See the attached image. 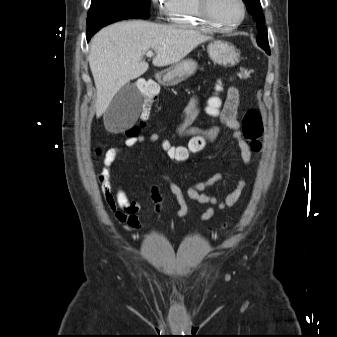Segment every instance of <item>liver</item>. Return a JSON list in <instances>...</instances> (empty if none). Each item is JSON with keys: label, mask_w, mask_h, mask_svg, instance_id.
<instances>
[{"label": "liver", "mask_w": 337, "mask_h": 337, "mask_svg": "<svg viewBox=\"0 0 337 337\" xmlns=\"http://www.w3.org/2000/svg\"><path fill=\"white\" fill-rule=\"evenodd\" d=\"M209 39L193 30L143 20L118 22L100 30L92 39L88 57L97 90L96 117L105 113L126 83L148 70L143 60L146 52L155 51L154 66H168Z\"/></svg>", "instance_id": "6515ba94"}]
</instances>
